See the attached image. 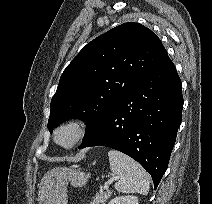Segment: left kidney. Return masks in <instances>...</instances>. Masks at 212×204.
Segmentation results:
<instances>
[{"label": "left kidney", "instance_id": "5707ae66", "mask_svg": "<svg viewBox=\"0 0 212 204\" xmlns=\"http://www.w3.org/2000/svg\"><path fill=\"white\" fill-rule=\"evenodd\" d=\"M108 204H138V198L135 195H125L113 198Z\"/></svg>", "mask_w": 212, "mask_h": 204}]
</instances>
